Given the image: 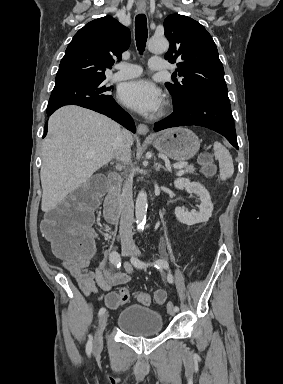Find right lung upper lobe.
<instances>
[{"label":"right lung upper lobe","instance_id":"1","mask_svg":"<svg viewBox=\"0 0 283 384\" xmlns=\"http://www.w3.org/2000/svg\"><path fill=\"white\" fill-rule=\"evenodd\" d=\"M129 43L130 31L111 16L87 23L68 45L54 88L105 80V69L121 59Z\"/></svg>","mask_w":283,"mask_h":384}]
</instances>
